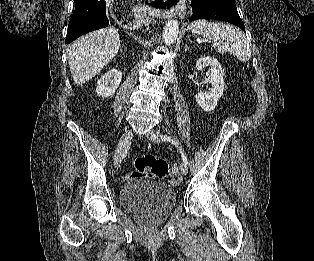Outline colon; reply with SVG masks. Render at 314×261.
Instances as JSON below:
<instances>
[{
	"instance_id": "colon-1",
	"label": "colon",
	"mask_w": 314,
	"mask_h": 261,
	"mask_svg": "<svg viewBox=\"0 0 314 261\" xmlns=\"http://www.w3.org/2000/svg\"><path fill=\"white\" fill-rule=\"evenodd\" d=\"M169 175L177 176L178 169H170L164 159L153 155H142L135 160V170L129 174L131 178L147 177L151 179H162Z\"/></svg>"
}]
</instances>
